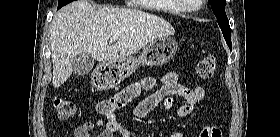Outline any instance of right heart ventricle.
I'll list each match as a JSON object with an SVG mask.
<instances>
[{"label": "right heart ventricle", "instance_id": "e07e8e85", "mask_svg": "<svg viewBox=\"0 0 280 137\" xmlns=\"http://www.w3.org/2000/svg\"><path fill=\"white\" fill-rule=\"evenodd\" d=\"M163 1H165V0H163ZM164 9L166 10V13L171 14V15L181 14L184 12V10L178 5H167V6H164Z\"/></svg>", "mask_w": 280, "mask_h": 137}]
</instances>
